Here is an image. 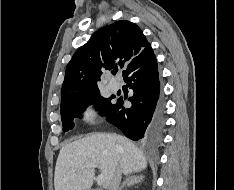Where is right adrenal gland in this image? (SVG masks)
<instances>
[{
  "label": "right adrenal gland",
  "instance_id": "1",
  "mask_svg": "<svg viewBox=\"0 0 234 190\" xmlns=\"http://www.w3.org/2000/svg\"><path fill=\"white\" fill-rule=\"evenodd\" d=\"M144 179L143 175L138 174V172H132L127 175L126 180L122 183L119 190H123L124 187H129L142 182Z\"/></svg>",
  "mask_w": 234,
  "mask_h": 190
}]
</instances>
